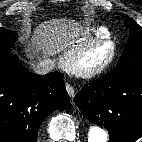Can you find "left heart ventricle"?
<instances>
[{
    "mask_svg": "<svg viewBox=\"0 0 142 142\" xmlns=\"http://www.w3.org/2000/svg\"><path fill=\"white\" fill-rule=\"evenodd\" d=\"M110 48L107 44H101L93 48L83 59V64L93 66L102 62L109 54Z\"/></svg>",
    "mask_w": 142,
    "mask_h": 142,
    "instance_id": "left-heart-ventricle-1",
    "label": "left heart ventricle"
}]
</instances>
